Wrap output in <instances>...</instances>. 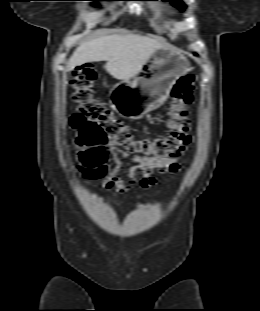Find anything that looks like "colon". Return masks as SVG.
<instances>
[{
    "instance_id": "colon-1",
    "label": "colon",
    "mask_w": 260,
    "mask_h": 311,
    "mask_svg": "<svg viewBox=\"0 0 260 311\" xmlns=\"http://www.w3.org/2000/svg\"><path fill=\"white\" fill-rule=\"evenodd\" d=\"M97 72L85 66L75 72L71 80L72 101L76 112L70 117V125L76 133L81 164L95 172L106 164V145L112 143L128 153L156 159L177 158L190 142L187 108L191 103L194 78L184 76L177 80L166 108V127L170 133L158 137L137 138L132 129L117 119L95 97L94 84Z\"/></svg>"
}]
</instances>
